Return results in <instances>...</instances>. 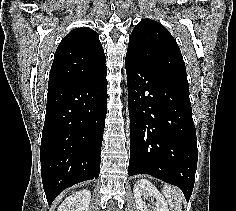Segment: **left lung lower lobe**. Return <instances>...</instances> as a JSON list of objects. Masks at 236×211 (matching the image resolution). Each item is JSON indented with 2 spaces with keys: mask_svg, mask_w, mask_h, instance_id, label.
Instances as JSON below:
<instances>
[{
  "mask_svg": "<svg viewBox=\"0 0 236 211\" xmlns=\"http://www.w3.org/2000/svg\"><path fill=\"white\" fill-rule=\"evenodd\" d=\"M130 115L128 175L149 174L178 186L188 201L197 168L188 84L125 59Z\"/></svg>",
  "mask_w": 236,
  "mask_h": 211,
  "instance_id": "1",
  "label": "left lung lower lobe"
}]
</instances>
